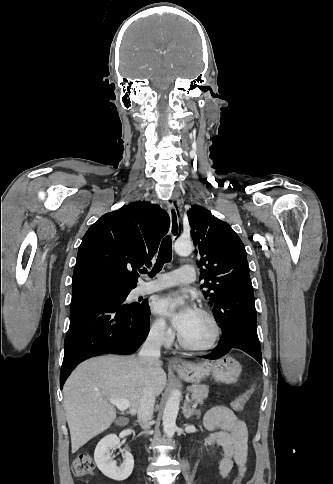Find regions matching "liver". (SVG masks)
<instances>
[{
    "label": "liver",
    "instance_id": "obj_1",
    "mask_svg": "<svg viewBox=\"0 0 333 484\" xmlns=\"http://www.w3.org/2000/svg\"><path fill=\"white\" fill-rule=\"evenodd\" d=\"M167 382L162 361L143 364L135 356H102L80 364L63 388L64 409L75 453L110 427L116 410L109 399H128L135 415L143 389L149 385L159 396Z\"/></svg>",
    "mask_w": 333,
    "mask_h": 484
}]
</instances>
